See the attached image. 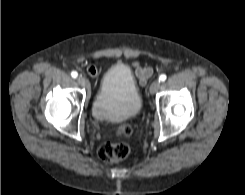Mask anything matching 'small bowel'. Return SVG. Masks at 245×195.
Returning <instances> with one entry per match:
<instances>
[{"label": "small bowel", "instance_id": "c3829d8e", "mask_svg": "<svg viewBox=\"0 0 245 195\" xmlns=\"http://www.w3.org/2000/svg\"><path fill=\"white\" fill-rule=\"evenodd\" d=\"M133 66L135 68L136 76L138 77L140 82H145L152 74V69L150 68H144L140 66L138 63H134ZM87 71L90 75L94 77L99 75V71L94 66H88Z\"/></svg>", "mask_w": 245, "mask_h": 195}]
</instances>
